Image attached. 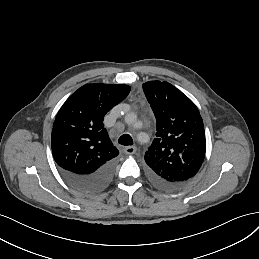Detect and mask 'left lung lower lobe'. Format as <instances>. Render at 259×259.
I'll return each instance as SVG.
<instances>
[{"label": "left lung lower lobe", "mask_w": 259, "mask_h": 259, "mask_svg": "<svg viewBox=\"0 0 259 259\" xmlns=\"http://www.w3.org/2000/svg\"><path fill=\"white\" fill-rule=\"evenodd\" d=\"M149 178L156 186H158L162 189H166V190H175V189L181 188L182 186H184L186 184V183H173V182L160 181V180L152 177L150 174H149Z\"/></svg>", "instance_id": "0a47b994"}]
</instances>
